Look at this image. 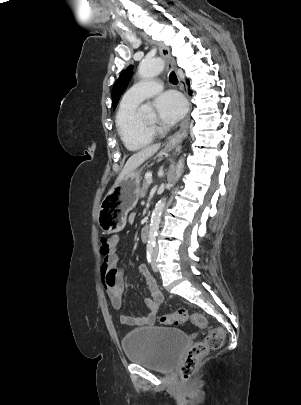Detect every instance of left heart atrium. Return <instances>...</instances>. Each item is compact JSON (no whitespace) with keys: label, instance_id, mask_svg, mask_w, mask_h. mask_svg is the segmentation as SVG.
Here are the masks:
<instances>
[{"label":"left heart atrium","instance_id":"obj_1","mask_svg":"<svg viewBox=\"0 0 301 405\" xmlns=\"http://www.w3.org/2000/svg\"><path fill=\"white\" fill-rule=\"evenodd\" d=\"M158 118L165 123L178 121L186 112L184 98L175 91L161 93L154 102Z\"/></svg>","mask_w":301,"mask_h":405}]
</instances>
